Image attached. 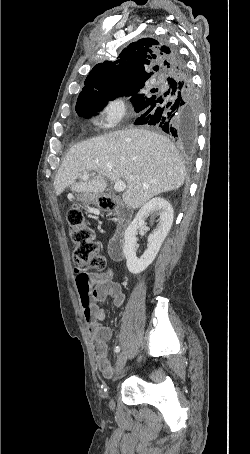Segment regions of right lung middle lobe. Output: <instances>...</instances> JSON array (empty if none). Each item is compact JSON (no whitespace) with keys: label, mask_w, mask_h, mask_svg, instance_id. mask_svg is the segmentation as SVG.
I'll return each mask as SVG.
<instances>
[{"label":"right lung middle lobe","mask_w":250,"mask_h":454,"mask_svg":"<svg viewBox=\"0 0 250 454\" xmlns=\"http://www.w3.org/2000/svg\"><path fill=\"white\" fill-rule=\"evenodd\" d=\"M143 86H144V84L135 86L131 89H128V90L120 93L118 96H123V95L132 96L131 101L134 105L135 111L137 112L142 106H144L146 103H148L150 100H152L156 97V95L147 97L144 94L139 93L140 89ZM112 99H114V98H107V99H104L99 102L78 103V104H76L75 110L79 116L89 118L93 114H95L97 111H100L106 105V101H109Z\"/></svg>","instance_id":"1"}]
</instances>
